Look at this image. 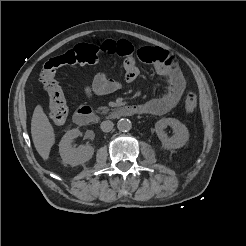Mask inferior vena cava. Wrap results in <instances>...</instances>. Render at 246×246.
<instances>
[{"mask_svg": "<svg viewBox=\"0 0 246 246\" xmlns=\"http://www.w3.org/2000/svg\"><path fill=\"white\" fill-rule=\"evenodd\" d=\"M113 126H114L113 122L107 120L101 123L100 128L103 132H109L113 129Z\"/></svg>", "mask_w": 246, "mask_h": 246, "instance_id": "602c4592", "label": "inferior vena cava"}]
</instances>
